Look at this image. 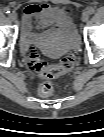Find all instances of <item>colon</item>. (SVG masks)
<instances>
[{"mask_svg":"<svg viewBox=\"0 0 104 137\" xmlns=\"http://www.w3.org/2000/svg\"><path fill=\"white\" fill-rule=\"evenodd\" d=\"M26 55L30 69L34 73L47 79L39 86L38 91L41 96L51 95L53 92V84L50 82V80L69 72L73 69L76 63L75 53L68 54L57 64H47L44 62L41 59L38 51L33 47H30L27 50Z\"/></svg>","mask_w":104,"mask_h":137,"instance_id":"1","label":"colon"}]
</instances>
